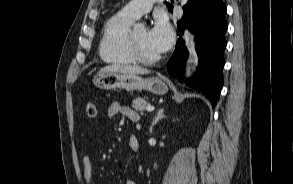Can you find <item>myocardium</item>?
<instances>
[{"instance_id": "myocardium-1", "label": "myocardium", "mask_w": 293, "mask_h": 184, "mask_svg": "<svg viewBox=\"0 0 293 184\" xmlns=\"http://www.w3.org/2000/svg\"><path fill=\"white\" fill-rule=\"evenodd\" d=\"M128 45H129V51H130L132 58L134 59V61H136L138 63L145 64V65H152V64L157 63L161 59L160 55L148 58V57L143 56L140 53L138 45H137L135 37H134V30H131L129 33Z\"/></svg>"}]
</instances>
